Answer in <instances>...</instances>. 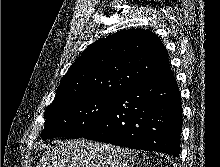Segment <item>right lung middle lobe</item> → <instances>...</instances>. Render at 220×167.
Listing matches in <instances>:
<instances>
[{
    "label": "right lung middle lobe",
    "instance_id": "obj_1",
    "mask_svg": "<svg viewBox=\"0 0 220 167\" xmlns=\"http://www.w3.org/2000/svg\"><path fill=\"white\" fill-rule=\"evenodd\" d=\"M114 97L115 95L77 94L54 100L44 113L43 139L80 138L107 112Z\"/></svg>",
    "mask_w": 220,
    "mask_h": 167
}]
</instances>
